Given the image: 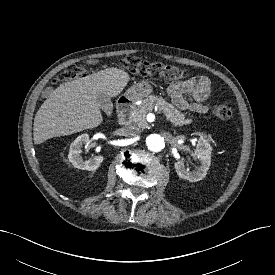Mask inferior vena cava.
<instances>
[{"label": "inferior vena cava", "mask_w": 275, "mask_h": 275, "mask_svg": "<svg viewBox=\"0 0 275 275\" xmlns=\"http://www.w3.org/2000/svg\"><path fill=\"white\" fill-rule=\"evenodd\" d=\"M141 133V130L136 125H128L124 128V134L129 137H136Z\"/></svg>", "instance_id": "obj_1"}]
</instances>
